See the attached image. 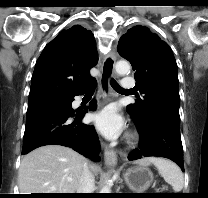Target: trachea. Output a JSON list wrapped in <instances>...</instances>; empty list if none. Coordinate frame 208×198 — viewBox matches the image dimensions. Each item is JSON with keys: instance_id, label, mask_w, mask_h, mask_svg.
Wrapping results in <instances>:
<instances>
[{"instance_id": "trachea-1", "label": "trachea", "mask_w": 208, "mask_h": 198, "mask_svg": "<svg viewBox=\"0 0 208 198\" xmlns=\"http://www.w3.org/2000/svg\"><path fill=\"white\" fill-rule=\"evenodd\" d=\"M111 85H112L113 89L116 91H126L115 80L111 81ZM90 91H94V88H91Z\"/></svg>"}]
</instances>
